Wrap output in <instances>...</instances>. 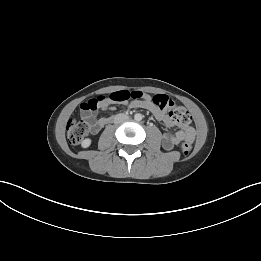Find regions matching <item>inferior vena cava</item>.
<instances>
[{
	"label": "inferior vena cava",
	"instance_id": "inferior-vena-cava-1",
	"mask_svg": "<svg viewBox=\"0 0 261 261\" xmlns=\"http://www.w3.org/2000/svg\"><path fill=\"white\" fill-rule=\"evenodd\" d=\"M127 119H128L127 115L119 114V115L116 116L115 122L118 123V122H121V121H125Z\"/></svg>",
	"mask_w": 261,
	"mask_h": 261
}]
</instances>
